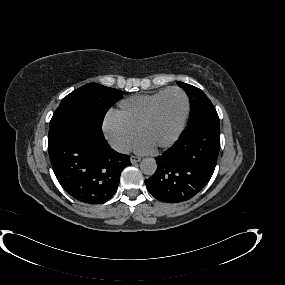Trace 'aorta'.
<instances>
[{
  "label": "aorta",
  "mask_w": 285,
  "mask_h": 285,
  "mask_svg": "<svg viewBox=\"0 0 285 285\" xmlns=\"http://www.w3.org/2000/svg\"><path fill=\"white\" fill-rule=\"evenodd\" d=\"M141 171L148 176H152L157 170V164L153 158H144L140 163Z\"/></svg>",
  "instance_id": "762f6f07"
}]
</instances>
